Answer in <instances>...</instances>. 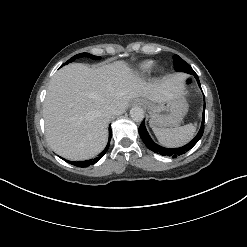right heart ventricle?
Masks as SVG:
<instances>
[{
    "mask_svg": "<svg viewBox=\"0 0 247 247\" xmlns=\"http://www.w3.org/2000/svg\"><path fill=\"white\" fill-rule=\"evenodd\" d=\"M154 68H155V62L151 60H147V61L142 62L138 66V73L140 75H147L151 73Z\"/></svg>",
    "mask_w": 247,
    "mask_h": 247,
    "instance_id": "obj_1",
    "label": "right heart ventricle"
}]
</instances>
